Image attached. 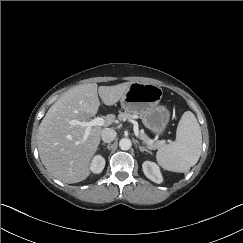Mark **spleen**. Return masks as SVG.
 Segmentation results:
<instances>
[{
    "mask_svg": "<svg viewBox=\"0 0 243 243\" xmlns=\"http://www.w3.org/2000/svg\"><path fill=\"white\" fill-rule=\"evenodd\" d=\"M200 125L191 111L182 115L176 131V140L160 147L156 154L158 164L168 171L185 173L201 155Z\"/></svg>",
    "mask_w": 243,
    "mask_h": 243,
    "instance_id": "1",
    "label": "spleen"
}]
</instances>
